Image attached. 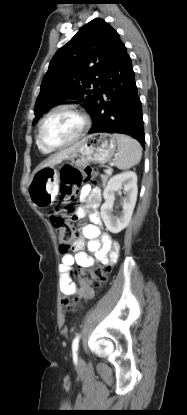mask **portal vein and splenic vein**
Masks as SVG:
<instances>
[{
	"instance_id": "portal-vein-and-splenic-vein-1",
	"label": "portal vein and splenic vein",
	"mask_w": 187,
	"mask_h": 415,
	"mask_svg": "<svg viewBox=\"0 0 187 415\" xmlns=\"http://www.w3.org/2000/svg\"><path fill=\"white\" fill-rule=\"evenodd\" d=\"M111 165H113V163H112ZM109 172H111V171H110L109 169H107V170H106V173H109Z\"/></svg>"
}]
</instances>
